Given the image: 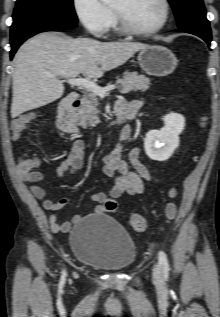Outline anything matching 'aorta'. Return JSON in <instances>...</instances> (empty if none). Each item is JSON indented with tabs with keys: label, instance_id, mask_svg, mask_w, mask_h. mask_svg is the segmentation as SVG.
I'll use <instances>...</instances> for the list:
<instances>
[{
	"label": "aorta",
	"instance_id": "762f6f07",
	"mask_svg": "<svg viewBox=\"0 0 220 317\" xmlns=\"http://www.w3.org/2000/svg\"><path fill=\"white\" fill-rule=\"evenodd\" d=\"M116 0H102L105 4H111L114 3Z\"/></svg>",
	"mask_w": 220,
	"mask_h": 317
}]
</instances>
